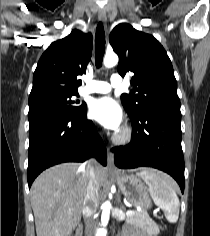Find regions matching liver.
Instances as JSON below:
<instances>
[{
    "label": "liver",
    "instance_id": "1",
    "mask_svg": "<svg viewBox=\"0 0 210 236\" xmlns=\"http://www.w3.org/2000/svg\"><path fill=\"white\" fill-rule=\"evenodd\" d=\"M99 187L107 170L95 167ZM86 166L63 163L43 171L30 190L37 236H67L80 222L87 191Z\"/></svg>",
    "mask_w": 210,
    "mask_h": 236
}]
</instances>
